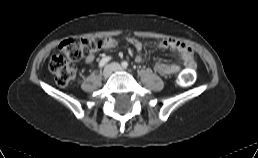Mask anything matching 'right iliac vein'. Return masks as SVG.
I'll list each match as a JSON object with an SVG mask.
<instances>
[{
    "label": "right iliac vein",
    "instance_id": "obj_1",
    "mask_svg": "<svg viewBox=\"0 0 258 158\" xmlns=\"http://www.w3.org/2000/svg\"><path fill=\"white\" fill-rule=\"evenodd\" d=\"M111 73H112V68H111L110 65H108V66H106V67L104 68V70H103V77H104V78H109L110 75H111Z\"/></svg>",
    "mask_w": 258,
    "mask_h": 158
}]
</instances>
